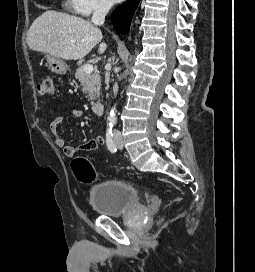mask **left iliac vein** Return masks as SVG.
<instances>
[{"label":"left iliac vein","instance_id":"left-iliac-vein-1","mask_svg":"<svg viewBox=\"0 0 255 272\" xmlns=\"http://www.w3.org/2000/svg\"><path fill=\"white\" fill-rule=\"evenodd\" d=\"M115 145L118 149H122L123 148V140H122V136L120 134H117L115 136Z\"/></svg>","mask_w":255,"mask_h":272}]
</instances>
